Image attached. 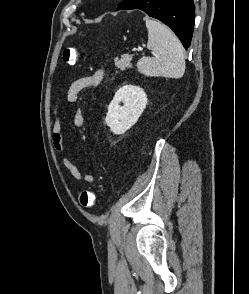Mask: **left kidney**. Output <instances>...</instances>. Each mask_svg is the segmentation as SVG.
<instances>
[{
    "label": "left kidney",
    "instance_id": "5707ae66",
    "mask_svg": "<svg viewBox=\"0 0 249 294\" xmlns=\"http://www.w3.org/2000/svg\"><path fill=\"white\" fill-rule=\"evenodd\" d=\"M120 102L124 105L120 106ZM147 104V95L138 86L125 85L117 90L108 106L105 122L114 134H123L139 119Z\"/></svg>",
    "mask_w": 249,
    "mask_h": 294
}]
</instances>
